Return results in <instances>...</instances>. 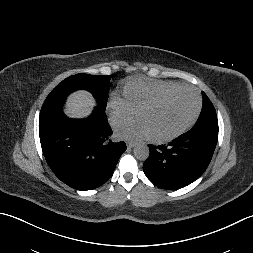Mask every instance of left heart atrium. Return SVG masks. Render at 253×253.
Segmentation results:
<instances>
[{
    "mask_svg": "<svg viewBox=\"0 0 253 253\" xmlns=\"http://www.w3.org/2000/svg\"><path fill=\"white\" fill-rule=\"evenodd\" d=\"M117 135L122 138H141L150 137L147 125L141 120L123 123L117 126Z\"/></svg>",
    "mask_w": 253,
    "mask_h": 253,
    "instance_id": "left-heart-atrium-1",
    "label": "left heart atrium"
}]
</instances>
